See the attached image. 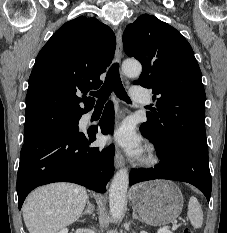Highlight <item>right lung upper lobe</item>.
<instances>
[{
	"instance_id": "right-lung-upper-lobe-1",
	"label": "right lung upper lobe",
	"mask_w": 227,
	"mask_h": 233,
	"mask_svg": "<svg viewBox=\"0 0 227 233\" xmlns=\"http://www.w3.org/2000/svg\"><path fill=\"white\" fill-rule=\"evenodd\" d=\"M114 32L96 18L80 16L59 28L39 52L26 96L24 136L38 135L80 119L114 57Z\"/></svg>"
}]
</instances>
